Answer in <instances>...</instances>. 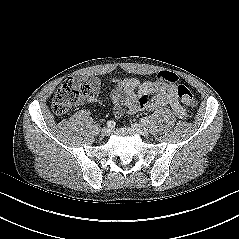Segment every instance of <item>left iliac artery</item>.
<instances>
[{"instance_id":"left-iliac-artery-1","label":"left iliac artery","mask_w":239,"mask_h":239,"mask_svg":"<svg viewBox=\"0 0 239 239\" xmlns=\"http://www.w3.org/2000/svg\"><path fill=\"white\" fill-rule=\"evenodd\" d=\"M141 123L143 125H148L149 124V119L147 117H143V118H141Z\"/></svg>"}]
</instances>
